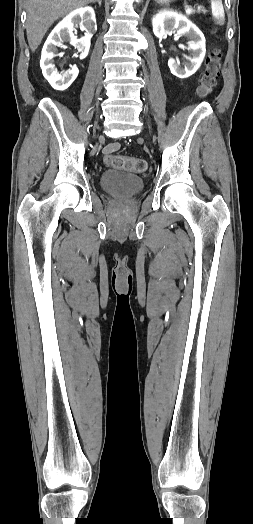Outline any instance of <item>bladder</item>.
<instances>
[{
    "label": "bladder",
    "mask_w": 253,
    "mask_h": 524,
    "mask_svg": "<svg viewBox=\"0 0 253 524\" xmlns=\"http://www.w3.org/2000/svg\"><path fill=\"white\" fill-rule=\"evenodd\" d=\"M101 190L116 198H131L145 187L142 177L129 172L105 170L99 176Z\"/></svg>",
    "instance_id": "1"
}]
</instances>
